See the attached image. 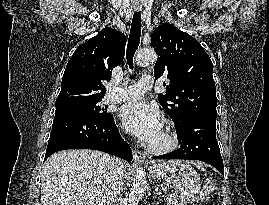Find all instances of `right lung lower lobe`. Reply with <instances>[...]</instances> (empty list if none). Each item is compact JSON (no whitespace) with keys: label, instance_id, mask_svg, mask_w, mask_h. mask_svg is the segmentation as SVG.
Returning <instances> with one entry per match:
<instances>
[{"label":"right lung lower lobe","instance_id":"1","mask_svg":"<svg viewBox=\"0 0 269 205\" xmlns=\"http://www.w3.org/2000/svg\"><path fill=\"white\" fill-rule=\"evenodd\" d=\"M65 149L99 150L132 161V150L121 138L113 117L105 120L87 115L55 117L44 160Z\"/></svg>","mask_w":269,"mask_h":205}]
</instances>
